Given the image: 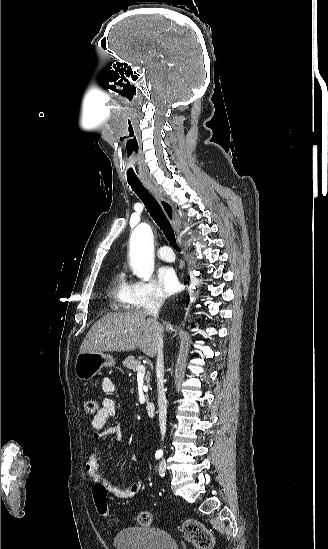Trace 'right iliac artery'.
Listing matches in <instances>:
<instances>
[{
  "instance_id": "right-iliac-artery-1",
  "label": "right iliac artery",
  "mask_w": 328,
  "mask_h": 549,
  "mask_svg": "<svg viewBox=\"0 0 328 549\" xmlns=\"http://www.w3.org/2000/svg\"><path fill=\"white\" fill-rule=\"evenodd\" d=\"M156 459H159L162 457V453L156 452L155 454Z\"/></svg>"
}]
</instances>
